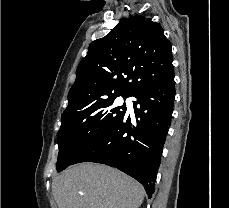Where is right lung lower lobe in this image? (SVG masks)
Wrapping results in <instances>:
<instances>
[{
    "label": "right lung lower lobe",
    "mask_w": 229,
    "mask_h": 208,
    "mask_svg": "<svg viewBox=\"0 0 229 208\" xmlns=\"http://www.w3.org/2000/svg\"><path fill=\"white\" fill-rule=\"evenodd\" d=\"M134 97L135 118L126 112L118 123L87 146L71 163L116 167L138 180L151 198L175 98L174 72L142 88Z\"/></svg>",
    "instance_id": "right-lung-lower-lobe-1"
}]
</instances>
